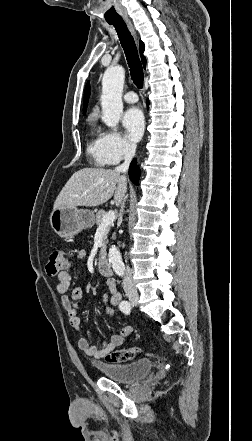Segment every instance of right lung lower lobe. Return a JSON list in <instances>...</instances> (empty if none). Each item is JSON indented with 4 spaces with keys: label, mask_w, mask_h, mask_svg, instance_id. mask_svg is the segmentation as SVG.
Masks as SVG:
<instances>
[{
    "label": "right lung lower lobe",
    "mask_w": 252,
    "mask_h": 441,
    "mask_svg": "<svg viewBox=\"0 0 252 441\" xmlns=\"http://www.w3.org/2000/svg\"><path fill=\"white\" fill-rule=\"evenodd\" d=\"M136 164H137L136 160H134L131 163L129 168V177L134 184L138 185V181L140 177V169Z\"/></svg>",
    "instance_id": "right-lung-lower-lobe-1"
}]
</instances>
